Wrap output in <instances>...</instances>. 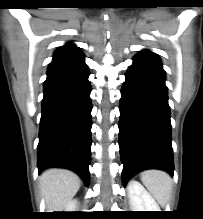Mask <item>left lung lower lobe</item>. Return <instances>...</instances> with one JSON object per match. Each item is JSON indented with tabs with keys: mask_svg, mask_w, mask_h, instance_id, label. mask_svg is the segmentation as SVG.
<instances>
[{
	"mask_svg": "<svg viewBox=\"0 0 203 219\" xmlns=\"http://www.w3.org/2000/svg\"><path fill=\"white\" fill-rule=\"evenodd\" d=\"M119 147L125 186L136 173L160 169L173 176L170 107L158 59L135 56L121 89Z\"/></svg>",
	"mask_w": 203,
	"mask_h": 219,
	"instance_id": "1",
	"label": "left lung lower lobe"
}]
</instances>
